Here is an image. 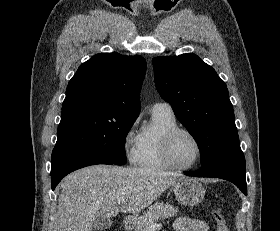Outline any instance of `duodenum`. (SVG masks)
<instances>
[{
  "instance_id": "1",
  "label": "duodenum",
  "mask_w": 280,
  "mask_h": 231,
  "mask_svg": "<svg viewBox=\"0 0 280 231\" xmlns=\"http://www.w3.org/2000/svg\"><path fill=\"white\" fill-rule=\"evenodd\" d=\"M123 226L125 227V228H128V227H130L132 224H133V222H134V219L132 218V217H130V216H126L124 219H123Z\"/></svg>"
}]
</instances>
